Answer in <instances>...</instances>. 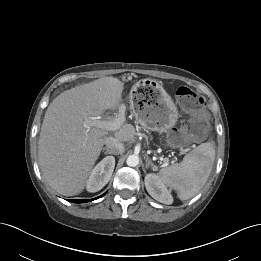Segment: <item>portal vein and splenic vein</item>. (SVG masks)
Masks as SVG:
<instances>
[{
  "mask_svg": "<svg viewBox=\"0 0 261 261\" xmlns=\"http://www.w3.org/2000/svg\"><path fill=\"white\" fill-rule=\"evenodd\" d=\"M92 125L97 126L98 128L107 130V131H117L121 128L124 122V113L120 107V113L117 118L110 120H99V118H92Z\"/></svg>",
  "mask_w": 261,
  "mask_h": 261,
  "instance_id": "18ae733b",
  "label": "portal vein and splenic vein"
}]
</instances>
